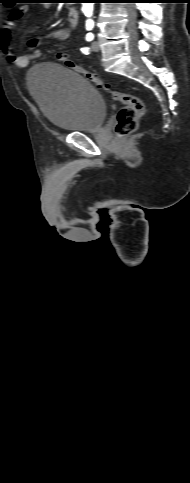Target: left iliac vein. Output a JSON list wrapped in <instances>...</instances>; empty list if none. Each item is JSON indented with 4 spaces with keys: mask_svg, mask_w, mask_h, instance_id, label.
<instances>
[{
    "mask_svg": "<svg viewBox=\"0 0 190 483\" xmlns=\"http://www.w3.org/2000/svg\"><path fill=\"white\" fill-rule=\"evenodd\" d=\"M91 49L95 52H98L100 50L99 43L98 41H94L91 45Z\"/></svg>",
    "mask_w": 190,
    "mask_h": 483,
    "instance_id": "4c4485c4",
    "label": "left iliac vein"
}]
</instances>
